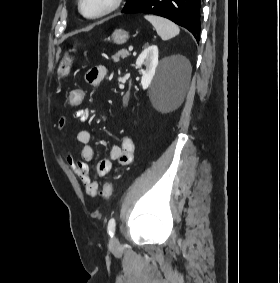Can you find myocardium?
Masks as SVG:
<instances>
[{"label":"myocardium","mask_w":280,"mask_h":283,"mask_svg":"<svg viewBox=\"0 0 280 283\" xmlns=\"http://www.w3.org/2000/svg\"><path fill=\"white\" fill-rule=\"evenodd\" d=\"M123 3V0H111L110 4L101 12L88 15L83 10V0H78V10L80 14L86 19H100L117 11Z\"/></svg>","instance_id":"f54148a6"}]
</instances>
